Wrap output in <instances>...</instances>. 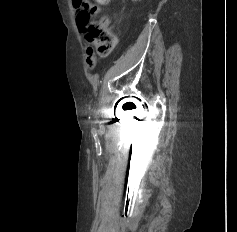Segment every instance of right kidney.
<instances>
[{"label": "right kidney", "instance_id": "obj_1", "mask_svg": "<svg viewBox=\"0 0 237 232\" xmlns=\"http://www.w3.org/2000/svg\"><path fill=\"white\" fill-rule=\"evenodd\" d=\"M132 1H140V0H132Z\"/></svg>", "mask_w": 237, "mask_h": 232}]
</instances>
